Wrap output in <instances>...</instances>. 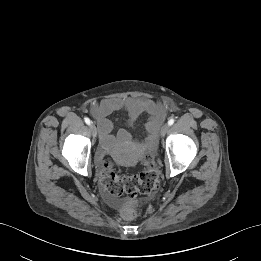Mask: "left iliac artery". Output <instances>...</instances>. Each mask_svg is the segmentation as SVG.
Returning <instances> with one entry per match:
<instances>
[{
	"label": "left iliac artery",
	"instance_id": "44dca946",
	"mask_svg": "<svg viewBox=\"0 0 261 261\" xmlns=\"http://www.w3.org/2000/svg\"><path fill=\"white\" fill-rule=\"evenodd\" d=\"M174 119L173 118H171L169 121H168V124H169V126H171V125H173L174 124Z\"/></svg>",
	"mask_w": 261,
	"mask_h": 261
}]
</instances>
